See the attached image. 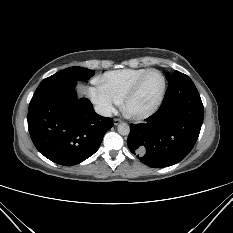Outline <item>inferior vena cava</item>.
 <instances>
[{"label":"inferior vena cava","mask_w":233,"mask_h":233,"mask_svg":"<svg viewBox=\"0 0 233 233\" xmlns=\"http://www.w3.org/2000/svg\"><path fill=\"white\" fill-rule=\"evenodd\" d=\"M95 111L99 115H102V116H105V117H111L112 116L111 110L109 108H107V107L96 106Z\"/></svg>","instance_id":"obj_1"}]
</instances>
